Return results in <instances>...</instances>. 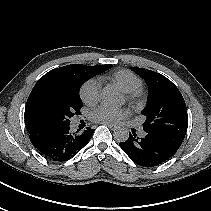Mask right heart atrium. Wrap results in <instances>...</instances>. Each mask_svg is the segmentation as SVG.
I'll return each mask as SVG.
<instances>
[{
	"instance_id": "right-heart-atrium-1",
	"label": "right heart atrium",
	"mask_w": 211,
	"mask_h": 211,
	"mask_svg": "<svg viewBox=\"0 0 211 211\" xmlns=\"http://www.w3.org/2000/svg\"><path fill=\"white\" fill-rule=\"evenodd\" d=\"M101 83L96 78H91L83 83L80 88V97L87 105H94L100 97Z\"/></svg>"
}]
</instances>
